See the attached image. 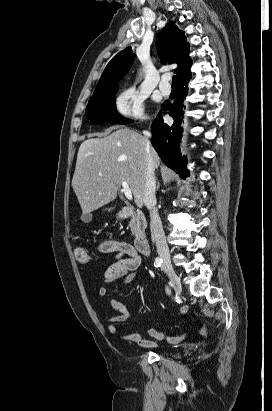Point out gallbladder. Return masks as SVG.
Segmentation results:
<instances>
[{"label":"gallbladder","instance_id":"1","mask_svg":"<svg viewBox=\"0 0 272 411\" xmlns=\"http://www.w3.org/2000/svg\"><path fill=\"white\" fill-rule=\"evenodd\" d=\"M113 209H114L113 207H111V208H106V210H108L109 212L112 211ZM82 220H83L84 222H89V221H90V216L87 215V214H85V215L82 216Z\"/></svg>","mask_w":272,"mask_h":411}]
</instances>
